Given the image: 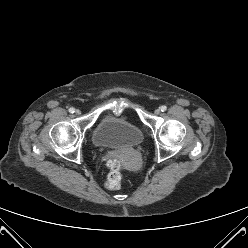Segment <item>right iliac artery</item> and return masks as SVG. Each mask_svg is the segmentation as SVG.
<instances>
[{"label": "right iliac artery", "instance_id": "82829eb1", "mask_svg": "<svg viewBox=\"0 0 248 248\" xmlns=\"http://www.w3.org/2000/svg\"><path fill=\"white\" fill-rule=\"evenodd\" d=\"M69 112H70V113H74V112H75V109H74L73 107H71V108L69 109Z\"/></svg>", "mask_w": 248, "mask_h": 248}]
</instances>
